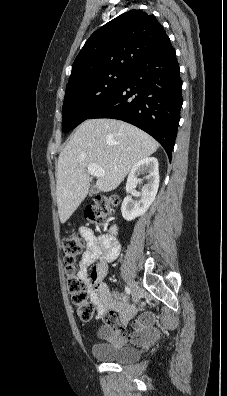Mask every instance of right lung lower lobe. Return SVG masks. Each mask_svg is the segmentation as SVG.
<instances>
[{
	"label": "right lung lower lobe",
	"instance_id": "right-lung-lower-lobe-1",
	"mask_svg": "<svg viewBox=\"0 0 227 396\" xmlns=\"http://www.w3.org/2000/svg\"><path fill=\"white\" fill-rule=\"evenodd\" d=\"M182 81L176 53L168 43L131 70L123 86L90 118L119 119L154 137L169 159L180 120Z\"/></svg>",
	"mask_w": 227,
	"mask_h": 396
}]
</instances>
